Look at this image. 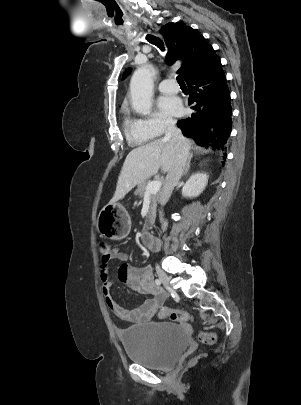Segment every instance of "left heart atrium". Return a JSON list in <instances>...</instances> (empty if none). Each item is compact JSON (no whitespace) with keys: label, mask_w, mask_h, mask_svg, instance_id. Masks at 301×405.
<instances>
[{"label":"left heart atrium","mask_w":301,"mask_h":405,"mask_svg":"<svg viewBox=\"0 0 301 405\" xmlns=\"http://www.w3.org/2000/svg\"><path fill=\"white\" fill-rule=\"evenodd\" d=\"M158 104L162 111L172 116H180L183 113L181 100L176 96H163Z\"/></svg>","instance_id":"obj_1"}]
</instances>
